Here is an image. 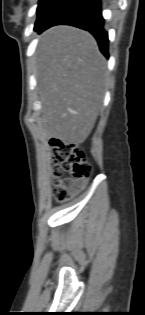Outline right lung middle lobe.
I'll list each match as a JSON object with an SVG mask.
<instances>
[{
  "mask_svg": "<svg viewBox=\"0 0 145 315\" xmlns=\"http://www.w3.org/2000/svg\"><path fill=\"white\" fill-rule=\"evenodd\" d=\"M67 0H39L34 29L39 31Z\"/></svg>",
  "mask_w": 145,
  "mask_h": 315,
  "instance_id": "1",
  "label": "right lung middle lobe"
}]
</instances>
